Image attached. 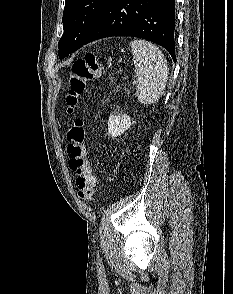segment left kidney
Listing matches in <instances>:
<instances>
[{
  "instance_id": "5707ae66",
  "label": "left kidney",
  "mask_w": 233,
  "mask_h": 294,
  "mask_svg": "<svg viewBox=\"0 0 233 294\" xmlns=\"http://www.w3.org/2000/svg\"><path fill=\"white\" fill-rule=\"evenodd\" d=\"M131 124V119L126 114L110 115L108 120V133L112 138H116L129 129Z\"/></svg>"
}]
</instances>
